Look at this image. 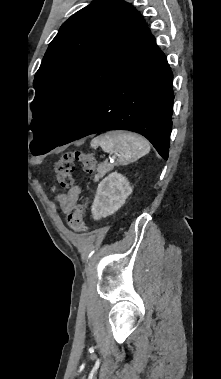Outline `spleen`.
<instances>
[{"instance_id": "spleen-1", "label": "spleen", "mask_w": 221, "mask_h": 379, "mask_svg": "<svg viewBox=\"0 0 221 379\" xmlns=\"http://www.w3.org/2000/svg\"><path fill=\"white\" fill-rule=\"evenodd\" d=\"M101 147L104 152L116 154L119 165H127L150 152L149 142L137 134L112 131L97 136L91 141V147Z\"/></svg>"}]
</instances>
